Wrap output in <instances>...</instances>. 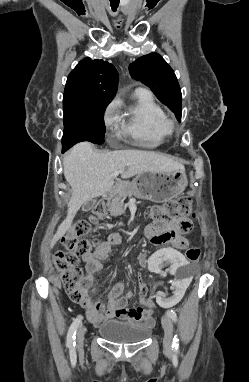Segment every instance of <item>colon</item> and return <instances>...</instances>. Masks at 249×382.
<instances>
[{"instance_id":"5ec220e1","label":"colon","mask_w":249,"mask_h":382,"mask_svg":"<svg viewBox=\"0 0 249 382\" xmlns=\"http://www.w3.org/2000/svg\"><path fill=\"white\" fill-rule=\"evenodd\" d=\"M104 204H97L92 212L85 218L73 224L71 232L63 241L65 250L58 251L55 257V265L62 272V285L74 302H80L85 298L84 279L85 273L79 266V257L90 252L97 245V240H88L82 236L88 232L91 226L97 225L104 216ZM192 212L191 200L187 196H181L161 205H155L150 209L149 215L154 220H162L168 216L180 214L189 215ZM162 242V240H161ZM186 258L191 262H196L200 257V250L190 247L185 252ZM145 277L144 273H139L135 280L140 282ZM147 297V287L142 285L140 289V299Z\"/></svg>"}]
</instances>
